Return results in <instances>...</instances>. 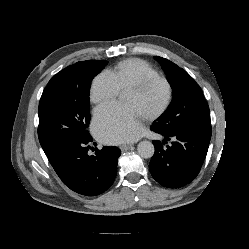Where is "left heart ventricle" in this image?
Masks as SVG:
<instances>
[{"instance_id": "obj_1", "label": "left heart ventricle", "mask_w": 249, "mask_h": 249, "mask_svg": "<svg viewBox=\"0 0 249 249\" xmlns=\"http://www.w3.org/2000/svg\"><path fill=\"white\" fill-rule=\"evenodd\" d=\"M166 95L165 85L157 82L141 93L126 92L124 103L126 106L132 107L141 119H145L163 105Z\"/></svg>"}]
</instances>
